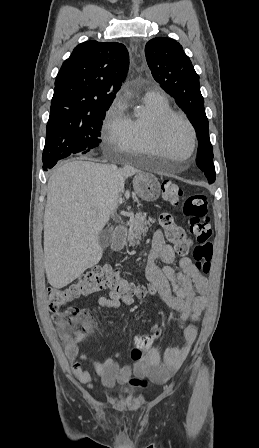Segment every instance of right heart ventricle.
<instances>
[{
  "instance_id": "obj_1",
  "label": "right heart ventricle",
  "mask_w": 259,
  "mask_h": 448,
  "mask_svg": "<svg viewBox=\"0 0 259 448\" xmlns=\"http://www.w3.org/2000/svg\"><path fill=\"white\" fill-rule=\"evenodd\" d=\"M141 102L146 109L143 116L122 108L119 118L127 134L126 154L121 158L123 163H139V155L148 150L156 149L153 141L155 120L166 113L172 112V106L164 93L147 90L143 93Z\"/></svg>"
}]
</instances>
